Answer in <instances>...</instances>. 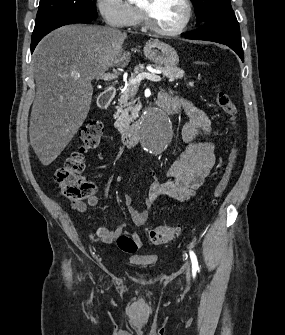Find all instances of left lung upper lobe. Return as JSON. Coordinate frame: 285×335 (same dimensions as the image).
I'll list each match as a JSON object with an SVG mask.
<instances>
[{"mask_svg": "<svg viewBox=\"0 0 285 335\" xmlns=\"http://www.w3.org/2000/svg\"><path fill=\"white\" fill-rule=\"evenodd\" d=\"M200 23L215 16L235 15L230 0H192Z\"/></svg>", "mask_w": 285, "mask_h": 335, "instance_id": "1", "label": "left lung upper lobe"}]
</instances>
